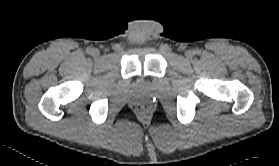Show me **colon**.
Here are the masks:
<instances>
[{
	"instance_id": "obj_1",
	"label": "colon",
	"mask_w": 279,
	"mask_h": 166,
	"mask_svg": "<svg viewBox=\"0 0 279 166\" xmlns=\"http://www.w3.org/2000/svg\"><path fill=\"white\" fill-rule=\"evenodd\" d=\"M137 110L139 113L145 114L150 110V105H148V104L139 105Z\"/></svg>"
}]
</instances>
